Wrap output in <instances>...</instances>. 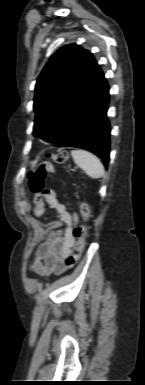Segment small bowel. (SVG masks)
I'll list each match as a JSON object with an SVG mask.
<instances>
[{
	"label": "small bowel",
	"mask_w": 145,
	"mask_h": 385,
	"mask_svg": "<svg viewBox=\"0 0 145 385\" xmlns=\"http://www.w3.org/2000/svg\"><path fill=\"white\" fill-rule=\"evenodd\" d=\"M46 204L55 210L58 221L48 224L50 231L44 242L38 247L35 259L30 265L32 273L42 277L62 274L71 267L68 264V258L75 244L71 226L78 219L76 214L67 210L52 189H45L39 196V201L35 202L34 215L36 217L44 215Z\"/></svg>",
	"instance_id": "obj_1"
}]
</instances>
